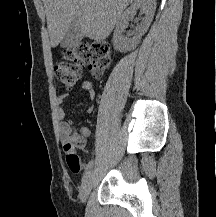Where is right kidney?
<instances>
[{
    "label": "right kidney",
    "instance_id": "right-kidney-1",
    "mask_svg": "<svg viewBox=\"0 0 216 217\" xmlns=\"http://www.w3.org/2000/svg\"><path fill=\"white\" fill-rule=\"evenodd\" d=\"M139 9L145 16L137 26V34L132 38L124 37L122 32ZM155 9L156 0H135L117 21L112 40L114 49L120 52H127L134 49L140 42L141 36L147 32L153 20Z\"/></svg>",
    "mask_w": 216,
    "mask_h": 217
}]
</instances>
